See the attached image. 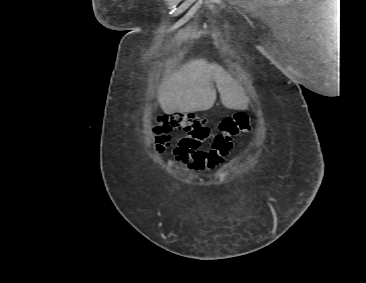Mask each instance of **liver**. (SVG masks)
Returning a JSON list of instances; mask_svg holds the SVG:
<instances>
[{
  "instance_id": "1",
  "label": "liver",
  "mask_w": 366,
  "mask_h": 283,
  "mask_svg": "<svg viewBox=\"0 0 366 283\" xmlns=\"http://www.w3.org/2000/svg\"><path fill=\"white\" fill-rule=\"evenodd\" d=\"M216 83L224 107L245 110L249 98L226 71L205 59L191 60L161 86L159 103L164 113H188L210 109L216 100Z\"/></svg>"
}]
</instances>
